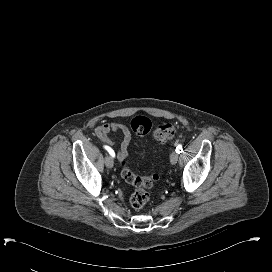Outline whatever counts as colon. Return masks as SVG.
I'll list each match as a JSON object with an SVG mask.
<instances>
[{"label":"colon","mask_w":272,"mask_h":272,"mask_svg":"<svg viewBox=\"0 0 272 272\" xmlns=\"http://www.w3.org/2000/svg\"><path fill=\"white\" fill-rule=\"evenodd\" d=\"M133 132L139 136L148 134L152 129V122L145 116H137L130 123ZM176 126L173 123H160L153 130V137L158 142H166L174 137ZM122 177L129 183L137 186L130 197V204L135 210H142L149 201V194L145 188H150L159 179L157 173L147 176L135 175L126 162L122 163Z\"/></svg>","instance_id":"obj_1"}]
</instances>
